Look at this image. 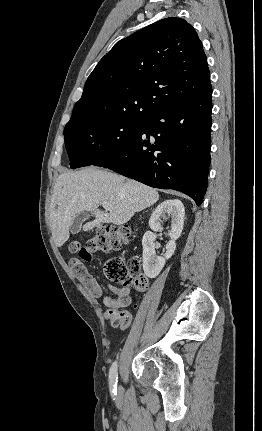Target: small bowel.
I'll return each mask as SVG.
<instances>
[{
	"mask_svg": "<svg viewBox=\"0 0 262 431\" xmlns=\"http://www.w3.org/2000/svg\"><path fill=\"white\" fill-rule=\"evenodd\" d=\"M80 264L81 270L75 271L74 268L76 265ZM70 265L74 270L76 278L81 282L84 288L94 297L100 298L103 296V287L102 285L89 274L87 268L80 263L77 259L72 258L70 260ZM112 290L116 293L115 297L105 296L103 297V304L106 307V317L113 316L120 311L121 308L129 307L132 304V299L130 296V289L128 287L123 288H115L112 287ZM127 314H129L127 312ZM130 316V314H129ZM125 329V328H121Z\"/></svg>",
	"mask_w": 262,
	"mask_h": 431,
	"instance_id": "obj_1",
	"label": "small bowel"
}]
</instances>
